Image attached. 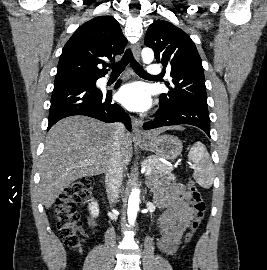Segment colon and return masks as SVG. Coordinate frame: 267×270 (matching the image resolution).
Returning <instances> with one entry per match:
<instances>
[{
    "label": "colon",
    "mask_w": 267,
    "mask_h": 270,
    "mask_svg": "<svg viewBox=\"0 0 267 270\" xmlns=\"http://www.w3.org/2000/svg\"><path fill=\"white\" fill-rule=\"evenodd\" d=\"M194 207V216L190 229L185 237L186 244L190 243L200 227L206 212V204L193 180L188 181ZM93 182L90 178H81L73 182L59 195L54 211L55 223L63 243L71 249L81 246L82 222L77 205L90 195Z\"/></svg>",
    "instance_id": "obj_1"
}]
</instances>
